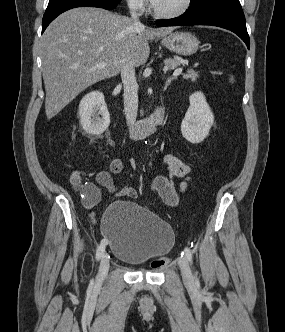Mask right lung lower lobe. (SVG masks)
Segmentation results:
<instances>
[{
	"label": "right lung lower lobe",
	"mask_w": 285,
	"mask_h": 332,
	"mask_svg": "<svg viewBox=\"0 0 285 332\" xmlns=\"http://www.w3.org/2000/svg\"><path fill=\"white\" fill-rule=\"evenodd\" d=\"M118 3L119 2H109L106 0H50L42 20V33L58 15L66 10L83 6L111 10L114 9Z\"/></svg>",
	"instance_id": "1"
}]
</instances>
